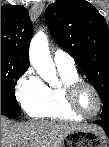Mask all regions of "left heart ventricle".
I'll list each match as a JSON object with an SVG mask.
<instances>
[{
    "mask_svg": "<svg viewBox=\"0 0 109 147\" xmlns=\"http://www.w3.org/2000/svg\"><path fill=\"white\" fill-rule=\"evenodd\" d=\"M77 102L81 111L87 115H91L96 111L97 99L93 92L86 87L80 90Z\"/></svg>",
    "mask_w": 109,
    "mask_h": 147,
    "instance_id": "1",
    "label": "left heart ventricle"
}]
</instances>
